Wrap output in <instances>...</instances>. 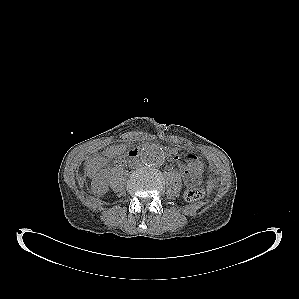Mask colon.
<instances>
[{"instance_id":"obj_1","label":"colon","mask_w":299,"mask_h":299,"mask_svg":"<svg viewBox=\"0 0 299 299\" xmlns=\"http://www.w3.org/2000/svg\"><path fill=\"white\" fill-rule=\"evenodd\" d=\"M187 165L192 175L200 180L204 175L205 168L203 162L194 154H188L186 156ZM204 196V190L202 188H190L185 192V199L188 202H195L202 199Z\"/></svg>"}]
</instances>
